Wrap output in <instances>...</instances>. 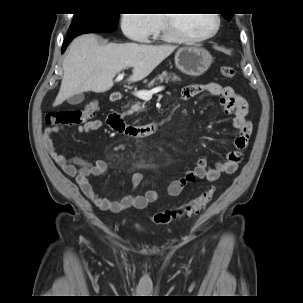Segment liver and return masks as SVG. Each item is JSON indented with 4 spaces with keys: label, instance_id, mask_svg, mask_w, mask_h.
Listing matches in <instances>:
<instances>
[{
    "label": "liver",
    "instance_id": "liver-1",
    "mask_svg": "<svg viewBox=\"0 0 303 303\" xmlns=\"http://www.w3.org/2000/svg\"><path fill=\"white\" fill-rule=\"evenodd\" d=\"M173 45L137 43L101 45L99 37L85 34L71 44L63 60V78L54 106L83 92L102 93L113 86V79L126 67H133L129 82L147 77L174 50Z\"/></svg>",
    "mask_w": 303,
    "mask_h": 303
}]
</instances>
